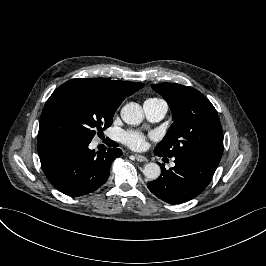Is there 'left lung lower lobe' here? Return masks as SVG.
Here are the masks:
<instances>
[{
  "label": "left lung lower lobe",
  "mask_w": 266,
  "mask_h": 266,
  "mask_svg": "<svg viewBox=\"0 0 266 266\" xmlns=\"http://www.w3.org/2000/svg\"><path fill=\"white\" fill-rule=\"evenodd\" d=\"M154 153L167 157L155 150ZM174 158L175 166L166 170L161 164L160 177L147 186L163 201L180 204L195 198L206 188L219 162L196 154H180Z\"/></svg>",
  "instance_id": "1"
}]
</instances>
